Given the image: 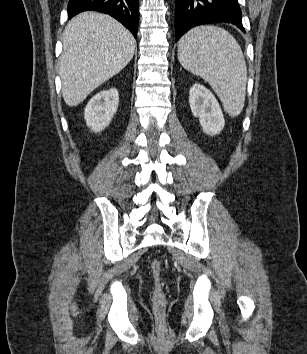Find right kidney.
<instances>
[{
  "instance_id": "obj_1",
  "label": "right kidney",
  "mask_w": 307,
  "mask_h": 354,
  "mask_svg": "<svg viewBox=\"0 0 307 354\" xmlns=\"http://www.w3.org/2000/svg\"><path fill=\"white\" fill-rule=\"evenodd\" d=\"M119 104V93L115 88L101 91L90 99L85 107L86 124L93 132H100L109 125Z\"/></svg>"
}]
</instances>
